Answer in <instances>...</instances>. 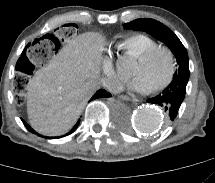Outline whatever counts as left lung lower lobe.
<instances>
[{
  "instance_id": "obj_1",
  "label": "left lung lower lobe",
  "mask_w": 215,
  "mask_h": 183,
  "mask_svg": "<svg viewBox=\"0 0 215 183\" xmlns=\"http://www.w3.org/2000/svg\"><path fill=\"white\" fill-rule=\"evenodd\" d=\"M187 83V78H174L159 95L148 99L147 102L161 106L167 114L168 121H173L184 100Z\"/></svg>"
}]
</instances>
